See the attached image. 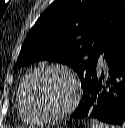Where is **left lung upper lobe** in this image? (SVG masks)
I'll use <instances>...</instances> for the list:
<instances>
[{
	"mask_svg": "<svg viewBox=\"0 0 125 128\" xmlns=\"http://www.w3.org/2000/svg\"><path fill=\"white\" fill-rule=\"evenodd\" d=\"M125 28L123 0H56L29 31L16 67L49 60L69 65L81 85Z\"/></svg>",
	"mask_w": 125,
	"mask_h": 128,
	"instance_id": "1",
	"label": "left lung upper lobe"
}]
</instances>
